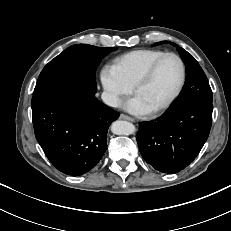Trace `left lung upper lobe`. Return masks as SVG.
<instances>
[{
    "mask_svg": "<svg viewBox=\"0 0 231 231\" xmlns=\"http://www.w3.org/2000/svg\"><path fill=\"white\" fill-rule=\"evenodd\" d=\"M163 43H168V41H161L155 45ZM170 44L177 48L181 59L186 65L187 73L186 83L183 87V90L173 104L194 100L212 103L213 98L209 82L196 59L183 48H180L178 45L174 43Z\"/></svg>",
    "mask_w": 231,
    "mask_h": 231,
    "instance_id": "5c2ea615",
    "label": "left lung upper lobe"
}]
</instances>
